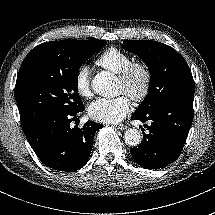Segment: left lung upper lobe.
I'll list each match as a JSON object with an SVG mask.
<instances>
[{"mask_svg":"<svg viewBox=\"0 0 215 215\" xmlns=\"http://www.w3.org/2000/svg\"><path fill=\"white\" fill-rule=\"evenodd\" d=\"M123 48L138 55L150 68L149 93L134 112H150L161 103L194 96L195 84L184 58L172 47L151 40H125Z\"/></svg>","mask_w":215,"mask_h":215,"instance_id":"obj_1","label":"left lung upper lobe"}]
</instances>
